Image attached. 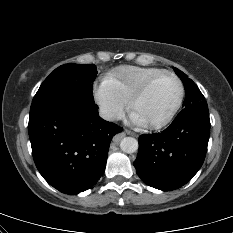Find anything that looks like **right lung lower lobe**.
I'll use <instances>...</instances> for the list:
<instances>
[{"label": "right lung lower lobe", "mask_w": 233, "mask_h": 233, "mask_svg": "<svg viewBox=\"0 0 233 233\" xmlns=\"http://www.w3.org/2000/svg\"><path fill=\"white\" fill-rule=\"evenodd\" d=\"M122 131L98 115L94 103H61L30 111L33 159L43 178L62 193L91 188L105 171L112 137Z\"/></svg>", "instance_id": "right-lung-lower-lobe-1"}]
</instances>
